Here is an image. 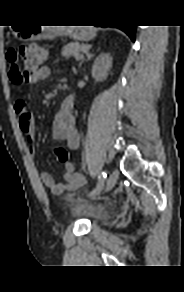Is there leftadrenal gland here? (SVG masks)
<instances>
[{"label":"left adrenal gland","mask_w":184,"mask_h":292,"mask_svg":"<svg viewBox=\"0 0 184 292\" xmlns=\"http://www.w3.org/2000/svg\"><path fill=\"white\" fill-rule=\"evenodd\" d=\"M94 56V54H88L87 55V60H90L92 57ZM85 61V59H83L81 62H80V65L79 67H81L82 63Z\"/></svg>","instance_id":"left-adrenal-gland-1"}]
</instances>
